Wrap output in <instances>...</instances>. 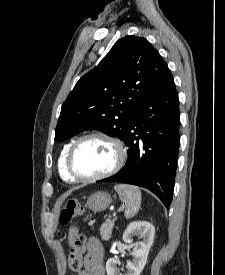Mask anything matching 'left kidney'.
Segmentation results:
<instances>
[{
  "mask_svg": "<svg viewBox=\"0 0 225 275\" xmlns=\"http://www.w3.org/2000/svg\"><path fill=\"white\" fill-rule=\"evenodd\" d=\"M135 235H140L142 239L133 249L132 262H128L126 265L127 272L122 274L117 269L116 265L119 264V259L110 258L106 262L107 275H140L147 262V256L149 250L153 244L155 228L154 226L145 221H137L129 224L123 234V241L125 243H132V238Z\"/></svg>",
  "mask_w": 225,
  "mask_h": 275,
  "instance_id": "obj_1",
  "label": "left kidney"
}]
</instances>
